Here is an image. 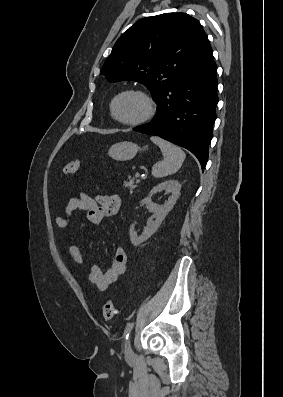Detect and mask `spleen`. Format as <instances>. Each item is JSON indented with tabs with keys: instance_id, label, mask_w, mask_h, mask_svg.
I'll return each mask as SVG.
<instances>
[{
	"instance_id": "spleen-1",
	"label": "spleen",
	"mask_w": 283,
	"mask_h": 397,
	"mask_svg": "<svg viewBox=\"0 0 283 397\" xmlns=\"http://www.w3.org/2000/svg\"><path fill=\"white\" fill-rule=\"evenodd\" d=\"M150 139L159 146L164 157L162 161L157 162L152 167V175L155 178H162L176 173L185 160L186 154L184 151L180 147L159 137H151Z\"/></svg>"
}]
</instances>
